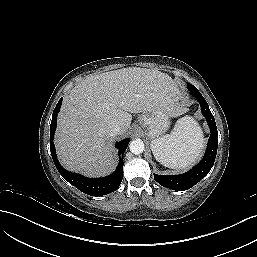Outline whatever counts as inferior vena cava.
Listing matches in <instances>:
<instances>
[{
  "label": "inferior vena cava",
  "mask_w": 257,
  "mask_h": 257,
  "mask_svg": "<svg viewBox=\"0 0 257 257\" xmlns=\"http://www.w3.org/2000/svg\"><path fill=\"white\" fill-rule=\"evenodd\" d=\"M120 131L121 127L118 124L114 125L110 130L112 136L118 135Z\"/></svg>",
  "instance_id": "obj_1"
}]
</instances>
